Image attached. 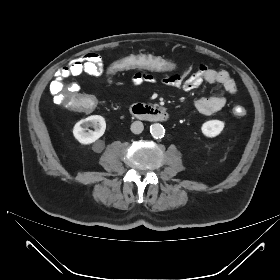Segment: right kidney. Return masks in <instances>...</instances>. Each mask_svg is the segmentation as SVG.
I'll return each mask as SVG.
<instances>
[{
    "label": "right kidney",
    "mask_w": 280,
    "mask_h": 280,
    "mask_svg": "<svg viewBox=\"0 0 280 280\" xmlns=\"http://www.w3.org/2000/svg\"><path fill=\"white\" fill-rule=\"evenodd\" d=\"M89 128H94L95 131ZM105 129V119L100 115H92L78 121L74 125L73 134L81 144H91L104 134Z\"/></svg>",
    "instance_id": "obj_1"
}]
</instances>
